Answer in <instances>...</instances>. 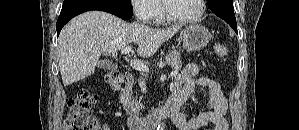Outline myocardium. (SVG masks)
Here are the masks:
<instances>
[{
	"label": "myocardium",
	"instance_id": "1",
	"mask_svg": "<svg viewBox=\"0 0 299 130\" xmlns=\"http://www.w3.org/2000/svg\"><path fill=\"white\" fill-rule=\"evenodd\" d=\"M171 0H163L162 1V10L164 18L171 23L186 25V24H192L201 19L205 12V1L204 0H197L198 1V12L191 16V17H175L173 16L168 8V4Z\"/></svg>",
	"mask_w": 299,
	"mask_h": 130
}]
</instances>
